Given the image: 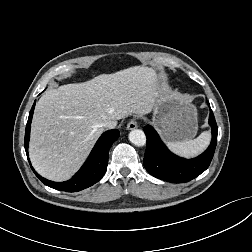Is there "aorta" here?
Here are the masks:
<instances>
[{"mask_svg": "<svg viewBox=\"0 0 252 252\" xmlns=\"http://www.w3.org/2000/svg\"><path fill=\"white\" fill-rule=\"evenodd\" d=\"M129 140L136 146H144L146 144V136L140 129H134L129 133Z\"/></svg>", "mask_w": 252, "mask_h": 252, "instance_id": "obj_1", "label": "aorta"}]
</instances>
